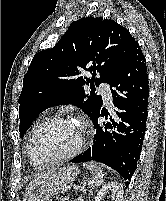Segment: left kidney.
<instances>
[{"label": "left kidney", "instance_id": "obj_1", "mask_svg": "<svg viewBox=\"0 0 166 201\" xmlns=\"http://www.w3.org/2000/svg\"><path fill=\"white\" fill-rule=\"evenodd\" d=\"M109 192H112L114 201H122L124 194L123 186L116 181L104 185L95 197V201H102L103 196Z\"/></svg>", "mask_w": 166, "mask_h": 201}]
</instances>
